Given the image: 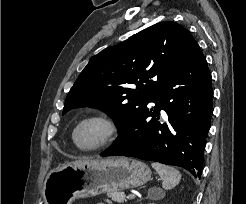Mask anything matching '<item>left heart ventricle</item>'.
Wrapping results in <instances>:
<instances>
[{
	"label": "left heart ventricle",
	"mask_w": 246,
	"mask_h": 204,
	"mask_svg": "<svg viewBox=\"0 0 246 204\" xmlns=\"http://www.w3.org/2000/svg\"><path fill=\"white\" fill-rule=\"evenodd\" d=\"M103 133V128L98 123H87L83 125L77 133L78 142L88 146L95 143Z\"/></svg>",
	"instance_id": "1"
}]
</instances>
